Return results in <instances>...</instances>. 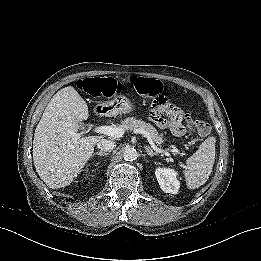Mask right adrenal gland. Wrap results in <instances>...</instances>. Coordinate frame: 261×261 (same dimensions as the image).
Segmentation results:
<instances>
[{
  "instance_id": "1",
  "label": "right adrenal gland",
  "mask_w": 261,
  "mask_h": 261,
  "mask_svg": "<svg viewBox=\"0 0 261 261\" xmlns=\"http://www.w3.org/2000/svg\"><path fill=\"white\" fill-rule=\"evenodd\" d=\"M94 155H98V156L102 157V156H105V155H107V153H105V152H102V151H99V152L93 153V155H92V156H94Z\"/></svg>"
}]
</instances>
